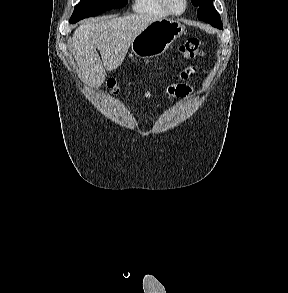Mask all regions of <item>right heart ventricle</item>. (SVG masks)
<instances>
[{"mask_svg":"<svg viewBox=\"0 0 288 293\" xmlns=\"http://www.w3.org/2000/svg\"><path fill=\"white\" fill-rule=\"evenodd\" d=\"M133 11L141 14L168 16L169 13L162 6L160 0H134Z\"/></svg>","mask_w":288,"mask_h":293,"instance_id":"e07e8e85","label":"right heart ventricle"}]
</instances>
